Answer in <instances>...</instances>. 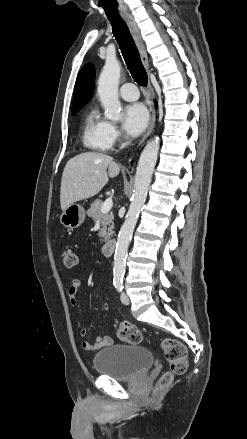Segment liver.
<instances>
[{
    "mask_svg": "<svg viewBox=\"0 0 247 439\" xmlns=\"http://www.w3.org/2000/svg\"><path fill=\"white\" fill-rule=\"evenodd\" d=\"M119 171L120 165L106 154L86 152L71 158L61 179V209L95 196L107 184L109 177L117 176Z\"/></svg>",
    "mask_w": 247,
    "mask_h": 439,
    "instance_id": "6515ba94",
    "label": "liver"
}]
</instances>
